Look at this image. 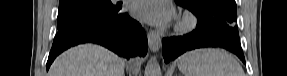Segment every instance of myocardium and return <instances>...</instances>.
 Here are the masks:
<instances>
[{
  "label": "myocardium",
  "mask_w": 287,
  "mask_h": 76,
  "mask_svg": "<svg viewBox=\"0 0 287 76\" xmlns=\"http://www.w3.org/2000/svg\"><path fill=\"white\" fill-rule=\"evenodd\" d=\"M198 19L195 14L191 12H185L179 19L175 30L179 34H186L196 28Z\"/></svg>",
  "instance_id": "1"
}]
</instances>
